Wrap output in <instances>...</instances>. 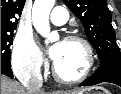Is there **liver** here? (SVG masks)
<instances>
[{
	"label": "liver",
	"mask_w": 121,
	"mask_h": 94,
	"mask_svg": "<svg viewBox=\"0 0 121 94\" xmlns=\"http://www.w3.org/2000/svg\"><path fill=\"white\" fill-rule=\"evenodd\" d=\"M1 94H77V93L76 91H54L50 93L36 91L34 93H31L25 87L21 86L18 82H15L1 74Z\"/></svg>",
	"instance_id": "6515ba94"
}]
</instances>
